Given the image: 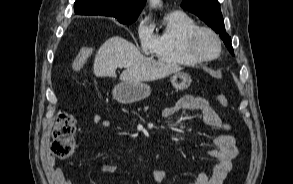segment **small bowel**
<instances>
[{
    "label": "small bowel",
    "instance_id": "1",
    "mask_svg": "<svg viewBox=\"0 0 293 184\" xmlns=\"http://www.w3.org/2000/svg\"><path fill=\"white\" fill-rule=\"evenodd\" d=\"M182 111H198L201 113V121L204 125L219 129L221 132L213 138L215 148L208 152L215 164L209 172H202L197 179L189 184H223L225 178L232 169V163L237 157L238 149L235 138L228 132L231 126L224 122L210 103L202 97L184 96L174 105L167 107L163 111L164 117L168 118ZM93 122L101 127H109L111 122L101 114H95ZM102 173H115L117 166L114 164H104L98 168ZM48 174L54 184H72L65 176L62 169L55 167L51 159L48 163ZM166 170L159 168L154 171L153 177L157 184H162L166 179Z\"/></svg>",
    "mask_w": 293,
    "mask_h": 184
}]
</instances>
